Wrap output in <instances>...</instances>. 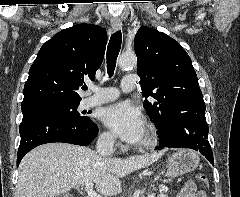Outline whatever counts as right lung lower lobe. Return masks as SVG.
I'll return each instance as SVG.
<instances>
[{
    "instance_id": "obj_1",
    "label": "right lung lower lobe",
    "mask_w": 240,
    "mask_h": 197,
    "mask_svg": "<svg viewBox=\"0 0 240 197\" xmlns=\"http://www.w3.org/2000/svg\"><path fill=\"white\" fill-rule=\"evenodd\" d=\"M22 113L17 166L23 156L38 145L65 142L86 146L98 133L97 125L92 121L85 126H78L58 113L45 109L27 108Z\"/></svg>"
}]
</instances>
